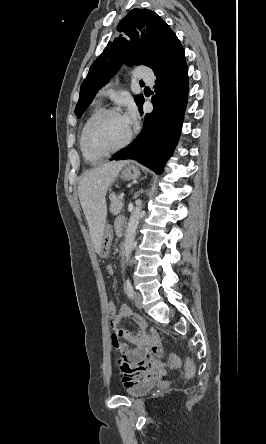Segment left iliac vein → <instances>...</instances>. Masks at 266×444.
Wrapping results in <instances>:
<instances>
[{"instance_id": "obj_1", "label": "left iliac vein", "mask_w": 266, "mask_h": 444, "mask_svg": "<svg viewBox=\"0 0 266 444\" xmlns=\"http://www.w3.org/2000/svg\"><path fill=\"white\" fill-rule=\"evenodd\" d=\"M134 304L137 308L141 309L143 307L142 304V295L140 292L135 291L134 292Z\"/></svg>"}]
</instances>
